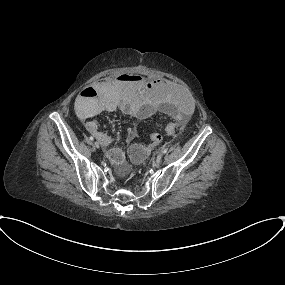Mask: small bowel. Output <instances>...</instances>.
Here are the masks:
<instances>
[{"label":"small bowel","instance_id":"1","mask_svg":"<svg viewBox=\"0 0 285 285\" xmlns=\"http://www.w3.org/2000/svg\"><path fill=\"white\" fill-rule=\"evenodd\" d=\"M74 107L79 116L86 120L87 131L102 145L116 166L124 163L125 151L122 147H110L112 138L100 130L94 116L103 111L120 110L124 115L147 119L160 110L176 123L184 125L195 111L194 101L181 86L165 78L148 81L139 75L101 80L78 94ZM136 135L137 128L132 125L128 136L133 139Z\"/></svg>","mask_w":285,"mask_h":285}]
</instances>
